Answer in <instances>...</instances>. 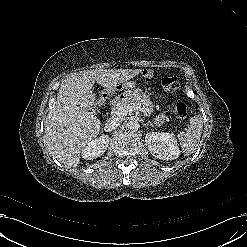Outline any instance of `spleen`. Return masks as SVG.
<instances>
[{"label":"spleen","mask_w":247,"mask_h":247,"mask_svg":"<svg viewBox=\"0 0 247 247\" xmlns=\"http://www.w3.org/2000/svg\"><path fill=\"white\" fill-rule=\"evenodd\" d=\"M203 129V119L201 115H195L190 119L188 129L178 134V140L185 155L194 153L198 147Z\"/></svg>","instance_id":"spleen-1"}]
</instances>
